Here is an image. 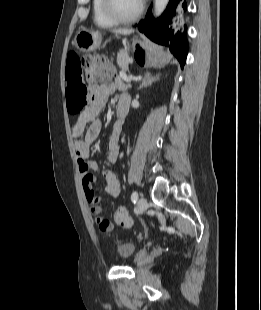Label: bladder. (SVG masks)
I'll return each instance as SVG.
<instances>
[{"instance_id":"1","label":"bladder","mask_w":261,"mask_h":310,"mask_svg":"<svg viewBox=\"0 0 261 310\" xmlns=\"http://www.w3.org/2000/svg\"><path fill=\"white\" fill-rule=\"evenodd\" d=\"M136 251V245L132 242L117 241L115 246L116 256L121 260L131 258Z\"/></svg>"}]
</instances>
